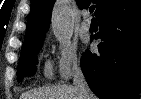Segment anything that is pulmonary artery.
Returning <instances> with one entry per match:
<instances>
[{
	"mask_svg": "<svg viewBox=\"0 0 141 99\" xmlns=\"http://www.w3.org/2000/svg\"><path fill=\"white\" fill-rule=\"evenodd\" d=\"M83 17H84V20L81 23V28L83 31L87 32V31H89V29L91 27V19L89 17V12L87 10H85L83 12Z\"/></svg>",
	"mask_w": 141,
	"mask_h": 99,
	"instance_id": "pulmonary-artery-1",
	"label": "pulmonary artery"
}]
</instances>
